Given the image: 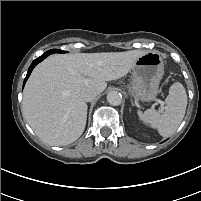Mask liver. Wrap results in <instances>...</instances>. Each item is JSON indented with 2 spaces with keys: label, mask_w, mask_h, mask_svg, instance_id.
Listing matches in <instances>:
<instances>
[{
  "label": "liver",
  "mask_w": 201,
  "mask_h": 201,
  "mask_svg": "<svg viewBox=\"0 0 201 201\" xmlns=\"http://www.w3.org/2000/svg\"><path fill=\"white\" fill-rule=\"evenodd\" d=\"M139 50L125 52L52 55L38 64L23 93L22 113L35 134L46 144L62 146L77 140L84 132L88 106L82 90L102 93L106 81L128 74L143 55Z\"/></svg>",
  "instance_id": "1"
}]
</instances>
